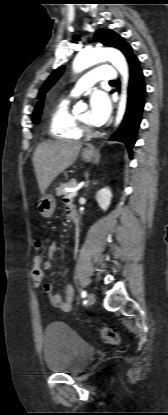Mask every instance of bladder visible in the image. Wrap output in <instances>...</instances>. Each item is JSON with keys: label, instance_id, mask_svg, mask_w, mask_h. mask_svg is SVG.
I'll return each instance as SVG.
<instances>
[{"label": "bladder", "instance_id": "31cf9c89", "mask_svg": "<svg viewBox=\"0 0 168 415\" xmlns=\"http://www.w3.org/2000/svg\"><path fill=\"white\" fill-rule=\"evenodd\" d=\"M94 348L62 322L50 323L43 336L45 364L53 373L76 375L85 369Z\"/></svg>", "mask_w": 168, "mask_h": 415}]
</instances>
